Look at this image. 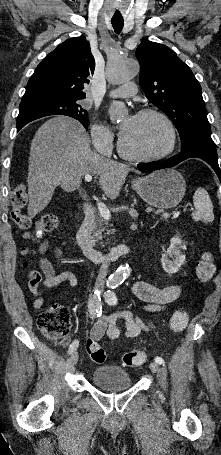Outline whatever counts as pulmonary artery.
I'll use <instances>...</instances> for the list:
<instances>
[{
	"mask_svg": "<svg viewBox=\"0 0 221 455\" xmlns=\"http://www.w3.org/2000/svg\"><path fill=\"white\" fill-rule=\"evenodd\" d=\"M137 93V86L133 82H127L120 87L112 90L110 96L113 98H127L134 96Z\"/></svg>",
	"mask_w": 221,
	"mask_h": 455,
	"instance_id": "obj_1",
	"label": "pulmonary artery"
}]
</instances>
